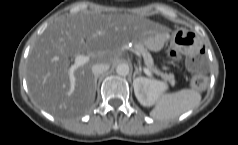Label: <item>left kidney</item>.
Returning <instances> with one entry per match:
<instances>
[{
    "instance_id": "left-kidney-1",
    "label": "left kidney",
    "mask_w": 238,
    "mask_h": 145,
    "mask_svg": "<svg viewBox=\"0 0 238 145\" xmlns=\"http://www.w3.org/2000/svg\"><path fill=\"white\" fill-rule=\"evenodd\" d=\"M133 87L137 100L145 107L152 106L159 94L168 88L164 82L145 77L135 78Z\"/></svg>"
}]
</instances>
